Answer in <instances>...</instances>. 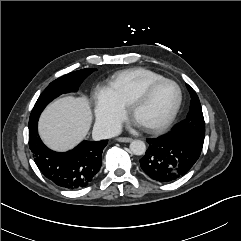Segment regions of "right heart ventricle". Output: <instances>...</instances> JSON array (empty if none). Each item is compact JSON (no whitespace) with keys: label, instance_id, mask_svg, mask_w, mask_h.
<instances>
[{"label":"right heart ventricle","instance_id":"obj_1","mask_svg":"<svg viewBox=\"0 0 241 241\" xmlns=\"http://www.w3.org/2000/svg\"><path fill=\"white\" fill-rule=\"evenodd\" d=\"M163 78L161 74L149 69L132 68L117 73L113 77L111 88L121 103L129 106L148 84Z\"/></svg>","mask_w":241,"mask_h":241}]
</instances>
